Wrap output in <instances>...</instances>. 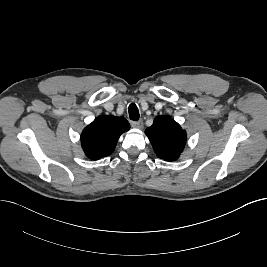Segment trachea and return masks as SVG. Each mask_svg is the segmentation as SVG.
<instances>
[{"mask_svg":"<svg viewBox=\"0 0 267 267\" xmlns=\"http://www.w3.org/2000/svg\"><path fill=\"white\" fill-rule=\"evenodd\" d=\"M128 110H129L130 119L133 121H138L140 114H139V110H138L137 106L134 103H132L129 105Z\"/></svg>","mask_w":267,"mask_h":267,"instance_id":"obj_1","label":"trachea"}]
</instances>
